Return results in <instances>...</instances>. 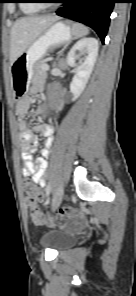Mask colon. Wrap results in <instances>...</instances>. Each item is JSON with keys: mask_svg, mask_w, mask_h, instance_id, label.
Instances as JSON below:
<instances>
[{"mask_svg": "<svg viewBox=\"0 0 136 296\" xmlns=\"http://www.w3.org/2000/svg\"><path fill=\"white\" fill-rule=\"evenodd\" d=\"M23 186L25 199L33 221L37 224L46 223L47 218L38 206V203L42 199L41 191L30 181H24ZM74 216L75 212L72 208L64 207L58 211L56 217L52 220V223H63Z\"/></svg>", "mask_w": 136, "mask_h": 296, "instance_id": "1", "label": "colon"}]
</instances>
